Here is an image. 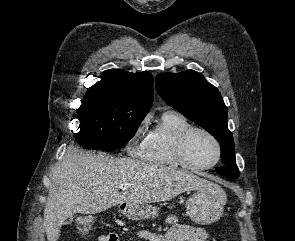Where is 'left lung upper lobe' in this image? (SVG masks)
Masks as SVG:
<instances>
[{"label":"left lung upper lobe","mask_w":295,"mask_h":241,"mask_svg":"<svg viewBox=\"0 0 295 241\" xmlns=\"http://www.w3.org/2000/svg\"><path fill=\"white\" fill-rule=\"evenodd\" d=\"M155 86L168 105L221 142L224 166L217 168L216 171L230 178H237L239 170L234 156L233 135L227 127L228 109L217 88L208 83L201 73L194 70L177 74H158Z\"/></svg>","instance_id":"1"}]
</instances>
